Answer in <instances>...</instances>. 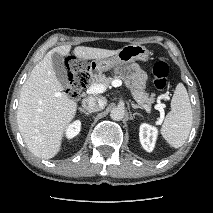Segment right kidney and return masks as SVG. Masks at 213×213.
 <instances>
[{
	"instance_id": "obj_1",
	"label": "right kidney",
	"mask_w": 213,
	"mask_h": 213,
	"mask_svg": "<svg viewBox=\"0 0 213 213\" xmlns=\"http://www.w3.org/2000/svg\"><path fill=\"white\" fill-rule=\"evenodd\" d=\"M80 129H81V122L79 120L74 121L66 129L65 133L67 138L69 139L74 138L76 135L79 134Z\"/></svg>"
}]
</instances>
